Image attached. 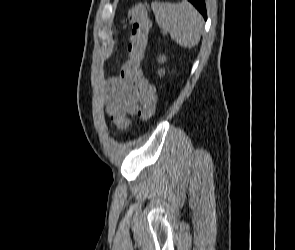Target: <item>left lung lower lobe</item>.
I'll list each match as a JSON object with an SVG mask.
<instances>
[{
  "label": "left lung lower lobe",
  "instance_id": "0a47b994",
  "mask_svg": "<svg viewBox=\"0 0 295 250\" xmlns=\"http://www.w3.org/2000/svg\"><path fill=\"white\" fill-rule=\"evenodd\" d=\"M198 10L199 12L203 15L204 19H207L206 15V7L204 0H189Z\"/></svg>",
  "mask_w": 295,
  "mask_h": 250
}]
</instances>
